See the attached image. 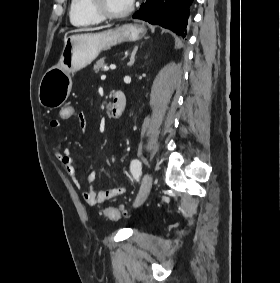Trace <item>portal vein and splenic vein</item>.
Instances as JSON below:
<instances>
[{"instance_id":"18ae733b","label":"portal vein and splenic vein","mask_w":280,"mask_h":283,"mask_svg":"<svg viewBox=\"0 0 280 283\" xmlns=\"http://www.w3.org/2000/svg\"><path fill=\"white\" fill-rule=\"evenodd\" d=\"M110 69H112V70H114V69H116V65L115 64H111L110 65ZM108 70V68H106V71Z\"/></svg>"}]
</instances>
